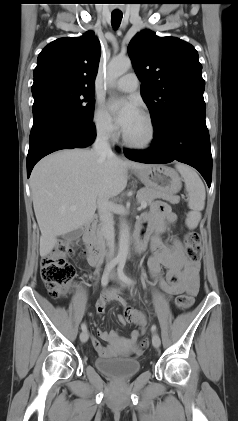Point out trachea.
I'll return each mask as SVG.
<instances>
[{
  "mask_svg": "<svg viewBox=\"0 0 238 421\" xmlns=\"http://www.w3.org/2000/svg\"><path fill=\"white\" fill-rule=\"evenodd\" d=\"M122 14L121 13H112L111 14V24L114 29H117L121 23Z\"/></svg>",
  "mask_w": 238,
  "mask_h": 421,
  "instance_id": "3493384b",
  "label": "trachea"
}]
</instances>
